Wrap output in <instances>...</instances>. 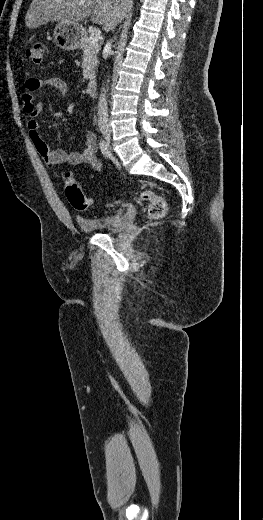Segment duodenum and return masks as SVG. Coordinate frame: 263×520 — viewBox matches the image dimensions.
<instances>
[{
    "instance_id": "1",
    "label": "duodenum",
    "mask_w": 263,
    "mask_h": 520,
    "mask_svg": "<svg viewBox=\"0 0 263 520\" xmlns=\"http://www.w3.org/2000/svg\"><path fill=\"white\" fill-rule=\"evenodd\" d=\"M87 90L90 96H95L97 93V81L92 78L88 81Z\"/></svg>"
}]
</instances>
